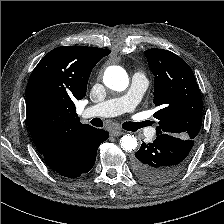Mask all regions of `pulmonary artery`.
<instances>
[{
	"instance_id": "e3ab8cb5",
	"label": "pulmonary artery",
	"mask_w": 224,
	"mask_h": 224,
	"mask_svg": "<svg viewBox=\"0 0 224 224\" xmlns=\"http://www.w3.org/2000/svg\"><path fill=\"white\" fill-rule=\"evenodd\" d=\"M147 86V77L141 72H136L132 76L131 84L126 94L86 107L82 111V117H113L133 112L147 89ZM151 132L154 133V129H151Z\"/></svg>"
}]
</instances>
